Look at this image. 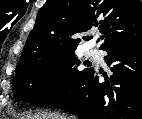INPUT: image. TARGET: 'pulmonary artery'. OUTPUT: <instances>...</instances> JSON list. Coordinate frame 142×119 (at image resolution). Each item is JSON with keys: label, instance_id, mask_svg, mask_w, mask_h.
Here are the masks:
<instances>
[{"label": "pulmonary artery", "instance_id": "e3ab8cb5", "mask_svg": "<svg viewBox=\"0 0 142 119\" xmlns=\"http://www.w3.org/2000/svg\"><path fill=\"white\" fill-rule=\"evenodd\" d=\"M86 54L91 59H94V60H100L101 59V56L96 49H93V48L89 49V50H87Z\"/></svg>", "mask_w": 142, "mask_h": 119}]
</instances>
